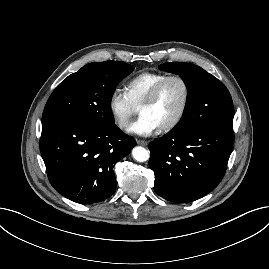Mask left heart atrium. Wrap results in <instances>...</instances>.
I'll list each match as a JSON object with an SVG mask.
<instances>
[{
	"instance_id": "39dd6f15",
	"label": "left heart atrium",
	"mask_w": 269,
	"mask_h": 269,
	"mask_svg": "<svg viewBox=\"0 0 269 269\" xmlns=\"http://www.w3.org/2000/svg\"><path fill=\"white\" fill-rule=\"evenodd\" d=\"M155 121L146 115H140L129 127L128 131L139 136H149L158 130Z\"/></svg>"
}]
</instances>
